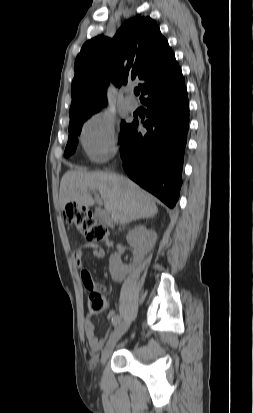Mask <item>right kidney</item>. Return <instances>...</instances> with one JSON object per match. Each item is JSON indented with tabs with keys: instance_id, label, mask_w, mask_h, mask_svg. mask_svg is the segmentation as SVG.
Listing matches in <instances>:
<instances>
[{
	"instance_id": "right-kidney-1",
	"label": "right kidney",
	"mask_w": 253,
	"mask_h": 413,
	"mask_svg": "<svg viewBox=\"0 0 253 413\" xmlns=\"http://www.w3.org/2000/svg\"><path fill=\"white\" fill-rule=\"evenodd\" d=\"M127 242L134 248V262L130 266H126L121 262L120 256L117 254L111 255L109 259V271L114 281H122L126 275L138 264H140L145 256L153 249L157 233L154 230H147L143 225L136 226L130 230L126 236Z\"/></svg>"
}]
</instances>
